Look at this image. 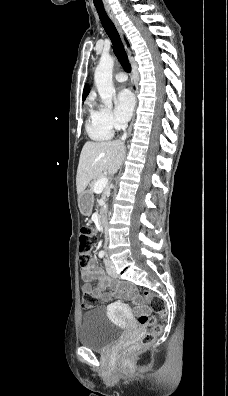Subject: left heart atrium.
Wrapping results in <instances>:
<instances>
[{
	"label": "left heart atrium",
	"mask_w": 228,
	"mask_h": 396,
	"mask_svg": "<svg viewBox=\"0 0 228 396\" xmlns=\"http://www.w3.org/2000/svg\"><path fill=\"white\" fill-rule=\"evenodd\" d=\"M135 98L132 92L126 88L119 91L115 99L116 115L122 122H126L132 115Z\"/></svg>",
	"instance_id": "left-heart-atrium-1"
}]
</instances>
